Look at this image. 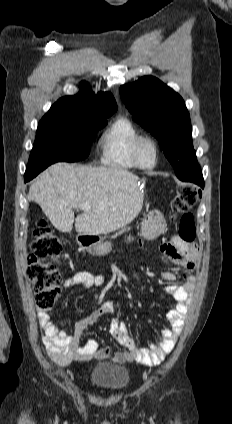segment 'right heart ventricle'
<instances>
[{
  "instance_id": "right-heart-ventricle-1",
  "label": "right heart ventricle",
  "mask_w": 232,
  "mask_h": 424,
  "mask_svg": "<svg viewBox=\"0 0 232 424\" xmlns=\"http://www.w3.org/2000/svg\"><path fill=\"white\" fill-rule=\"evenodd\" d=\"M141 135L140 129L129 117H118L100 137L102 164L120 170L138 168L132 157V147Z\"/></svg>"
}]
</instances>
